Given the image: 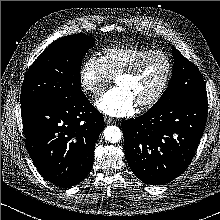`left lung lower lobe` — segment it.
Wrapping results in <instances>:
<instances>
[{
  "label": "left lung lower lobe",
  "mask_w": 220,
  "mask_h": 220,
  "mask_svg": "<svg viewBox=\"0 0 220 220\" xmlns=\"http://www.w3.org/2000/svg\"><path fill=\"white\" fill-rule=\"evenodd\" d=\"M207 97L150 108L122 124L126 159L143 182L162 185L190 164L207 120Z\"/></svg>",
  "instance_id": "left-lung-lower-lobe-1"
}]
</instances>
